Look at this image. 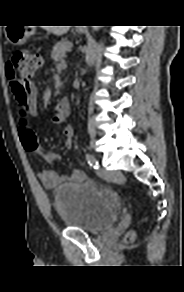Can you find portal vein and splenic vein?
<instances>
[{"instance_id":"18ae733b","label":"portal vein and splenic vein","mask_w":184,"mask_h":292,"mask_svg":"<svg viewBox=\"0 0 184 292\" xmlns=\"http://www.w3.org/2000/svg\"><path fill=\"white\" fill-rule=\"evenodd\" d=\"M57 69H63L66 67V63L64 61H61L60 63L57 64Z\"/></svg>"}]
</instances>
